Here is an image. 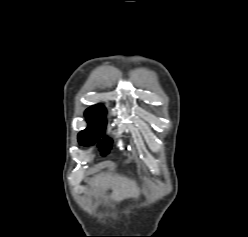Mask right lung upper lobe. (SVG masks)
<instances>
[{
  "label": "right lung upper lobe",
  "instance_id": "1",
  "mask_svg": "<svg viewBox=\"0 0 248 237\" xmlns=\"http://www.w3.org/2000/svg\"><path fill=\"white\" fill-rule=\"evenodd\" d=\"M106 111L102 105H94L88 108L85 112V116L105 119Z\"/></svg>",
  "mask_w": 248,
  "mask_h": 237
}]
</instances>
